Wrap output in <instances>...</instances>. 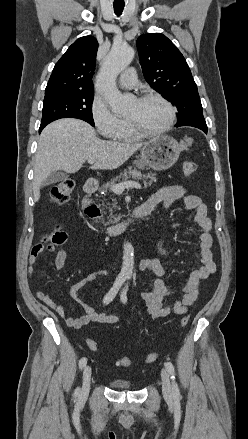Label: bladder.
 Listing matches in <instances>:
<instances>
[{"label":"bladder","mask_w":248,"mask_h":439,"mask_svg":"<svg viewBox=\"0 0 248 439\" xmlns=\"http://www.w3.org/2000/svg\"><path fill=\"white\" fill-rule=\"evenodd\" d=\"M110 385L119 390H129L131 388L130 382L123 380H111Z\"/></svg>","instance_id":"31cf9c89"}]
</instances>
